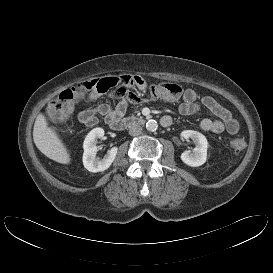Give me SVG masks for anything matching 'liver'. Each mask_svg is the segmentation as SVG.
<instances>
[{"mask_svg":"<svg viewBox=\"0 0 273 273\" xmlns=\"http://www.w3.org/2000/svg\"><path fill=\"white\" fill-rule=\"evenodd\" d=\"M33 140L36 147L48 158L61 164H69L71 162L66 146L55 128L49 127L47 118L43 113H39L36 117L33 128Z\"/></svg>","mask_w":273,"mask_h":273,"instance_id":"6515ba94","label":"liver"}]
</instances>
